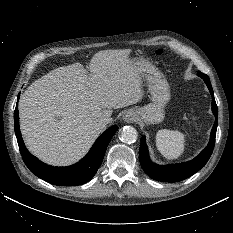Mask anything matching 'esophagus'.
Listing matches in <instances>:
<instances>
[{"label": "esophagus", "instance_id": "esophagus-1", "mask_svg": "<svg viewBox=\"0 0 233 233\" xmlns=\"http://www.w3.org/2000/svg\"><path fill=\"white\" fill-rule=\"evenodd\" d=\"M123 119H124V121H126V122H132V121H134V119H135V115H134V113L133 112H126L124 115H123Z\"/></svg>", "mask_w": 233, "mask_h": 233}]
</instances>
